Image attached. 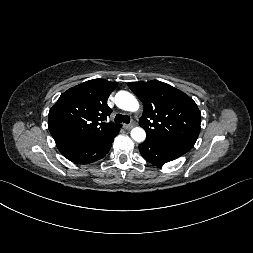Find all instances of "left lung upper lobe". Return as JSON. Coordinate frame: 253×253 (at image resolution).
<instances>
[{"instance_id": "5c2ea615", "label": "left lung upper lobe", "mask_w": 253, "mask_h": 253, "mask_svg": "<svg viewBox=\"0 0 253 253\" xmlns=\"http://www.w3.org/2000/svg\"><path fill=\"white\" fill-rule=\"evenodd\" d=\"M129 88L143 102L139 120L148 140L189 151L200 132V111L188 95L161 81L129 82Z\"/></svg>"}]
</instances>
